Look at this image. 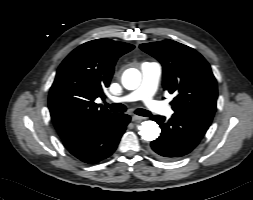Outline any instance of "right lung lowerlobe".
<instances>
[{"label": "right lung lower lobe", "instance_id": "98d812e1", "mask_svg": "<svg viewBox=\"0 0 253 200\" xmlns=\"http://www.w3.org/2000/svg\"><path fill=\"white\" fill-rule=\"evenodd\" d=\"M129 122L130 116L116 113L99 126L63 140V144L81 161L98 163L115 151Z\"/></svg>", "mask_w": 253, "mask_h": 200}]
</instances>
